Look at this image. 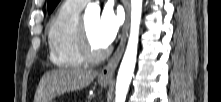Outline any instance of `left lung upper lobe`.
Segmentation results:
<instances>
[{
    "mask_svg": "<svg viewBox=\"0 0 221 102\" xmlns=\"http://www.w3.org/2000/svg\"><path fill=\"white\" fill-rule=\"evenodd\" d=\"M60 0H48V12L51 13Z\"/></svg>",
    "mask_w": 221,
    "mask_h": 102,
    "instance_id": "5c2ea615",
    "label": "left lung upper lobe"
}]
</instances>
